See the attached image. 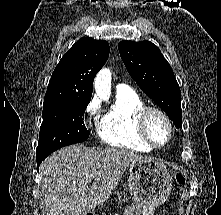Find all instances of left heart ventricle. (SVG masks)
<instances>
[{
	"label": "left heart ventricle",
	"mask_w": 221,
	"mask_h": 215,
	"mask_svg": "<svg viewBox=\"0 0 221 215\" xmlns=\"http://www.w3.org/2000/svg\"><path fill=\"white\" fill-rule=\"evenodd\" d=\"M148 129L156 144L163 145L167 141L168 127L160 116L154 114L150 117Z\"/></svg>",
	"instance_id": "b2bd125f"
}]
</instances>
